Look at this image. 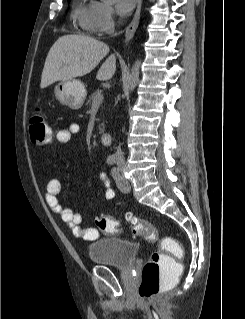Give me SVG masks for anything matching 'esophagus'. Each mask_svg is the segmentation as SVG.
<instances>
[{"label":"esophagus","instance_id":"esophagus-1","mask_svg":"<svg viewBox=\"0 0 245 319\" xmlns=\"http://www.w3.org/2000/svg\"><path fill=\"white\" fill-rule=\"evenodd\" d=\"M142 0H138L137 9L135 15L131 21V23L126 28L125 32V42L128 43L135 34V31L138 27L140 20V12H141Z\"/></svg>","mask_w":245,"mask_h":319}]
</instances>
